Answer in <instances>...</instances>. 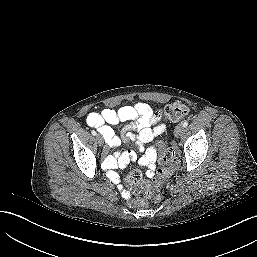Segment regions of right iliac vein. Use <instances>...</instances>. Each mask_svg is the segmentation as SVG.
<instances>
[{
	"instance_id": "1",
	"label": "right iliac vein",
	"mask_w": 257,
	"mask_h": 257,
	"mask_svg": "<svg viewBox=\"0 0 257 257\" xmlns=\"http://www.w3.org/2000/svg\"><path fill=\"white\" fill-rule=\"evenodd\" d=\"M96 138H97V141H98L99 146H103V144H104L103 137H102L100 134H98V135L96 136Z\"/></svg>"
}]
</instances>
